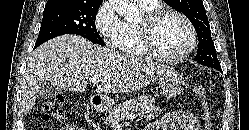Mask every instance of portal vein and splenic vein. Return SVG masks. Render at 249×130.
Segmentation results:
<instances>
[{
    "instance_id": "obj_1",
    "label": "portal vein and splenic vein",
    "mask_w": 249,
    "mask_h": 130,
    "mask_svg": "<svg viewBox=\"0 0 249 130\" xmlns=\"http://www.w3.org/2000/svg\"><path fill=\"white\" fill-rule=\"evenodd\" d=\"M89 81L92 82L93 84H96V83L98 82L97 79H90ZM136 117H137V115H135V114H133V115H128V116H127V119H128V120H133V119H135Z\"/></svg>"
}]
</instances>
